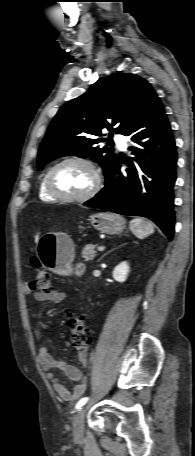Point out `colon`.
<instances>
[{
    "instance_id": "colon-1",
    "label": "colon",
    "mask_w": 195,
    "mask_h": 456,
    "mask_svg": "<svg viewBox=\"0 0 195 456\" xmlns=\"http://www.w3.org/2000/svg\"><path fill=\"white\" fill-rule=\"evenodd\" d=\"M31 264L36 271V276L30 283V287L33 290L43 293L51 292L52 281L50 274L38 259L32 258ZM67 323L71 332V341L76 351V355L81 361H86L89 356V347L92 339L85 319L82 315H76L69 312Z\"/></svg>"
}]
</instances>
